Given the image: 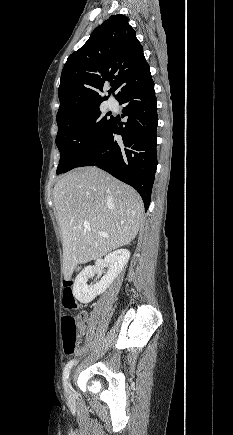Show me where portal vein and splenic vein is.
Segmentation results:
<instances>
[{
  "mask_svg": "<svg viewBox=\"0 0 233 435\" xmlns=\"http://www.w3.org/2000/svg\"><path fill=\"white\" fill-rule=\"evenodd\" d=\"M83 226L86 228V229H89L90 228V224H89V222H84L83 223ZM99 235H101V236H103V237H105V238H108L109 237V235L107 234V233H104V232H99Z\"/></svg>",
  "mask_w": 233,
  "mask_h": 435,
  "instance_id": "1",
  "label": "portal vein and splenic vein"
}]
</instances>
